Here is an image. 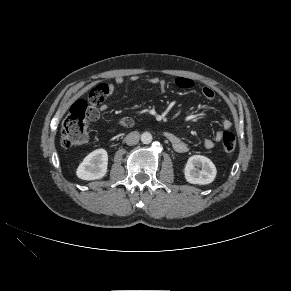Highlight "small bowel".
Here are the masks:
<instances>
[{
	"label": "small bowel",
	"mask_w": 291,
	"mask_h": 291,
	"mask_svg": "<svg viewBox=\"0 0 291 291\" xmlns=\"http://www.w3.org/2000/svg\"><path fill=\"white\" fill-rule=\"evenodd\" d=\"M139 77L137 75H133L131 77V81H138ZM124 82V78L122 76H116L113 79V83L110 84H100L97 87H102L104 88V92H103V98L101 100V102H99L96 105L92 106V112H91V116H92V120H97L99 117V113L106 111L108 109V105L105 103V100L111 96V94L113 93L114 89H115V85H120ZM148 82L151 84H158L161 91H164L165 89V82L163 80H160L157 77H152L148 79ZM176 85L181 88V89H185V90H189L192 89L194 87V82L186 77H178L175 81ZM201 94L202 96L207 99V100H213L215 97V92L212 88L210 87H203L201 90ZM126 118V117H125ZM122 121V120H121ZM122 125V123H121ZM231 122L229 120H224L223 122V128L224 129H230L231 128ZM123 126V125H122ZM222 133L221 131L217 132L214 139H206L204 141V146L207 149H212L215 146L216 142L221 141L222 139ZM167 137L170 140L173 148L179 152V153H183L186 152L188 149V146L186 144V142L181 139L180 137H178L177 135H175L174 133L168 132L167 133Z\"/></svg>",
	"instance_id": "small-bowel-1"
}]
</instances>
